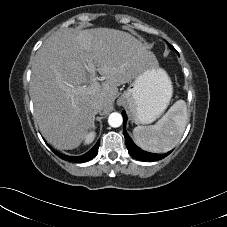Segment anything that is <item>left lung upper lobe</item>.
<instances>
[{"mask_svg": "<svg viewBox=\"0 0 227 227\" xmlns=\"http://www.w3.org/2000/svg\"><path fill=\"white\" fill-rule=\"evenodd\" d=\"M168 45L170 46V48H171V49H174V47H173V46H171L170 44H168Z\"/></svg>", "mask_w": 227, "mask_h": 227, "instance_id": "left-lung-upper-lobe-1", "label": "left lung upper lobe"}]
</instances>
